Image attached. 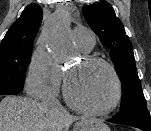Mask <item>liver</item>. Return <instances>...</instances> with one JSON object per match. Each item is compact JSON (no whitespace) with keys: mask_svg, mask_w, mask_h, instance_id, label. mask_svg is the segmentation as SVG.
Instances as JSON below:
<instances>
[{"mask_svg":"<svg viewBox=\"0 0 151 131\" xmlns=\"http://www.w3.org/2000/svg\"><path fill=\"white\" fill-rule=\"evenodd\" d=\"M76 120L62 107H45L26 97L6 96L0 102V131H68Z\"/></svg>","mask_w":151,"mask_h":131,"instance_id":"6515ba94","label":"liver"}]
</instances>
